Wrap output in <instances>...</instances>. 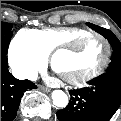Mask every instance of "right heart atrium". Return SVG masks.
<instances>
[{"label":"right heart atrium","mask_w":121,"mask_h":121,"mask_svg":"<svg viewBox=\"0 0 121 121\" xmlns=\"http://www.w3.org/2000/svg\"><path fill=\"white\" fill-rule=\"evenodd\" d=\"M46 57L29 44L13 40L9 49V61L15 71L21 77L33 78L45 65Z\"/></svg>","instance_id":"obj_1"}]
</instances>
